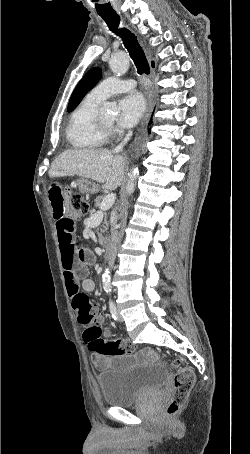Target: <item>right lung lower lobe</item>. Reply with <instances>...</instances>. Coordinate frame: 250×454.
<instances>
[{"label": "right lung lower lobe", "instance_id": "1", "mask_svg": "<svg viewBox=\"0 0 250 454\" xmlns=\"http://www.w3.org/2000/svg\"><path fill=\"white\" fill-rule=\"evenodd\" d=\"M152 121L149 122V125H151ZM149 134H150V129H149Z\"/></svg>", "mask_w": 250, "mask_h": 454}]
</instances>
